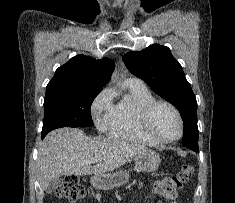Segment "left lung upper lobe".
Masks as SVG:
<instances>
[{"mask_svg":"<svg viewBox=\"0 0 235 203\" xmlns=\"http://www.w3.org/2000/svg\"><path fill=\"white\" fill-rule=\"evenodd\" d=\"M123 61L132 74L144 80L153 91L179 110L184 130H190L193 135V148L190 149H198L197 101L170 49L154 44L125 54Z\"/></svg>","mask_w":235,"mask_h":203,"instance_id":"5c2ea615","label":"left lung upper lobe"}]
</instances>
